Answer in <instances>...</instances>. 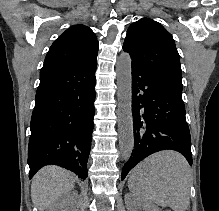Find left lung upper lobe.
<instances>
[{
	"mask_svg": "<svg viewBox=\"0 0 219 211\" xmlns=\"http://www.w3.org/2000/svg\"><path fill=\"white\" fill-rule=\"evenodd\" d=\"M132 64L182 91L179 54L172 35L158 22L142 18L130 25L123 44Z\"/></svg>",
	"mask_w": 219,
	"mask_h": 211,
	"instance_id": "obj_1",
	"label": "left lung upper lobe"
}]
</instances>
